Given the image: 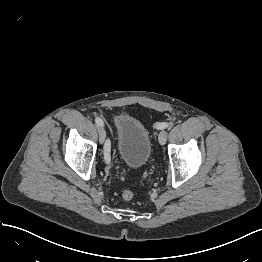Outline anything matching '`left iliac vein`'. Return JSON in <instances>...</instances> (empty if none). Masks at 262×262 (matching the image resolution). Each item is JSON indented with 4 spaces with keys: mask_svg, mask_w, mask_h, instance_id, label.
<instances>
[{
    "mask_svg": "<svg viewBox=\"0 0 262 262\" xmlns=\"http://www.w3.org/2000/svg\"><path fill=\"white\" fill-rule=\"evenodd\" d=\"M167 135H168V133H167V131H165V130H162V131L159 133L158 139H159L160 145H162V146L165 145L166 140H167Z\"/></svg>",
    "mask_w": 262,
    "mask_h": 262,
    "instance_id": "obj_1",
    "label": "left iliac vein"
}]
</instances>
